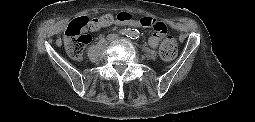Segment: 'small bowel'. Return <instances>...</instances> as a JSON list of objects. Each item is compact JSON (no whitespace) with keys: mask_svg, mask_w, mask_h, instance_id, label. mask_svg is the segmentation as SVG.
<instances>
[{"mask_svg":"<svg viewBox=\"0 0 255 122\" xmlns=\"http://www.w3.org/2000/svg\"><path fill=\"white\" fill-rule=\"evenodd\" d=\"M120 24L129 25V26H140L139 22L135 19L128 21V22L120 23ZM159 42H160V35L157 33H153L148 38V44L152 48H156L158 46Z\"/></svg>","mask_w":255,"mask_h":122,"instance_id":"1","label":"small bowel"}]
</instances>
